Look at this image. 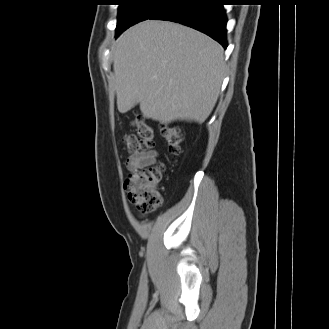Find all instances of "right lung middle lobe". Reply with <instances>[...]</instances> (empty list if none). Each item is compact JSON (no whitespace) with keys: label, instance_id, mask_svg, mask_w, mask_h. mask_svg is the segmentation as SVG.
Returning <instances> with one entry per match:
<instances>
[{"label":"right lung middle lobe","instance_id":"right-lung-middle-lobe-1","mask_svg":"<svg viewBox=\"0 0 329 329\" xmlns=\"http://www.w3.org/2000/svg\"><path fill=\"white\" fill-rule=\"evenodd\" d=\"M119 4L116 36L130 26L149 19L174 0H117Z\"/></svg>","mask_w":329,"mask_h":329}]
</instances>
